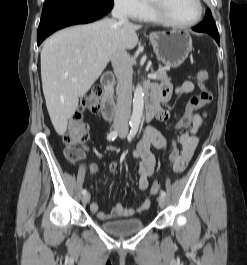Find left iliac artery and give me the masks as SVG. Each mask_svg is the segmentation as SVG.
<instances>
[{
  "label": "left iliac artery",
  "instance_id": "44dca946",
  "mask_svg": "<svg viewBox=\"0 0 247 265\" xmlns=\"http://www.w3.org/2000/svg\"><path fill=\"white\" fill-rule=\"evenodd\" d=\"M138 124H134L130 130V133L128 135V141H131L134 136L136 135L137 131H138ZM161 196H166V192L164 190L161 191Z\"/></svg>",
  "mask_w": 247,
  "mask_h": 265
}]
</instances>
